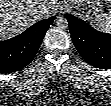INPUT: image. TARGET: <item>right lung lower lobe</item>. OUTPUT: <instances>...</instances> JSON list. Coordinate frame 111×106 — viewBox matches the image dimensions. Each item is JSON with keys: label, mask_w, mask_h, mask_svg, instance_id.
I'll list each match as a JSON object with an SVG mask.
<instances>
[{"label": "right lung lower lobe", "mask_w": 111, "mask_h": 106, "mask_svg": "<svg viewBox=\"0 0 111 106\" xmlns=\"http://www.w3.org/2000/svg\"><path fill=\"white\" fill-rule=\"evenodd\" d=\"M55 16L41 20L20 35L0 41V73H11L27 66L34 58Z\"/></svg>", "instance_id": "98d812e1"}]
</instances>
